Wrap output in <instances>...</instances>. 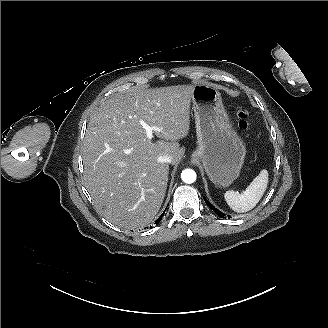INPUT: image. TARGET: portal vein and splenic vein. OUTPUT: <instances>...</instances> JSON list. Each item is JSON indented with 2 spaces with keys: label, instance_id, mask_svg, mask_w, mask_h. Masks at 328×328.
Segmentation results:
<instances>
[{
  "label": "portal vein and splenic vein",
  "instance_id": "1",
  "mask_svg": "<svg viewBox=\"0 0 328 328\" xmlns=\"http://www.w3.org/2000/svg\"><path fill=\"white\" fill-rule=\"evenodd\" d=\"M140 125L142 126V128L145 130L146 132V136L148 139H152L153 138V131H158L160 132L162 129L156 126H149L144 120L140 119L139 120Z\"/></svg>",
  "mask_w": 328,
  "mask_h": 328
}]
</instances>
